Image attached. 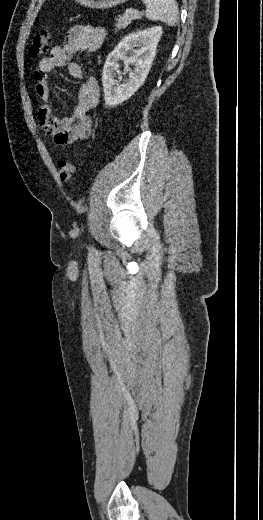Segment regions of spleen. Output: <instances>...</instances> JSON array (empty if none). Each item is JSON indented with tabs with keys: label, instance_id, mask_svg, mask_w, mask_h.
Here are the masks:
<instances>
[{
	"label": "spleen",
	"instance_id": "spleen-1",
	"mask_svg": "<svg viewBox=\"0 0 263 520\" xmlns=\"http://www.w3.org/2000/svg\"><path fill=\"white\" fill-rule=\"evenodd\" d=\"M147 5L145 16L149 20L162 21L174 26L178 20V5L176 0H142Z\"/></svg>",
	"mask_w": 263,
	"mask_h": 520
}]
</instances>
